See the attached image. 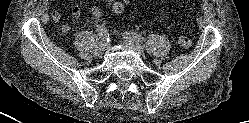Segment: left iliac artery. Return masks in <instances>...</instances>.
Listing matches in <instances>:
<instances>
[{"label":"left iliac artery","mask_w":249,"mask_h":123,"mask_svg":"<svg viewBox=\"0 0 249 123\" xmlns=\"http://www.w3.org/2000/svg\"><path fill=\"white\" fill-rule=\"evenodd\" d=\"M125 34L136 39L139 42H143V40H144V38L140 34H137L135 32H125Z\"/></svg>","instance_id":"obj_1"}]
</instances>
